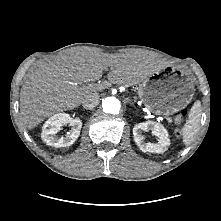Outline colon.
<instances>
[{
    "label": "colon",
    "mask_w": 221,
    "mask_h": 221,
    "mask_svg": "<svg viewBox=\"0 0 221 221\" xmlns=\"http://www.w3.org/2000/svg\"><path fill=\"white\" fill-rule=\"evenodd\" d=\"M186 113H187L186 110L183 109L176 114V116L174 118V123H175L176 127H179L182 124Z\"/></svg>",
    "instance_id": "1"
}]
</instances>
